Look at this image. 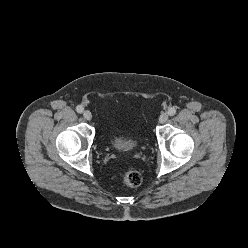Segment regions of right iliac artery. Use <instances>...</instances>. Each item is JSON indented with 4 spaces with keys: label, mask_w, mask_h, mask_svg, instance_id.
Instances as JSON below:
<instances>
[{
    "label": "right iliac artery",
    "mask_w": 248,
    "mask_h": 248,
    "mask_svg": "<svg viewBox=\"0 0 248 248\" xmlns=\"http://www.w3.org/2000/svg\"><path fill=\"white\" fill-rule=\"evenodd\" d=\"M76 111H77L78 113H82V112L84 111L83 106L78 105V106L76 107Z\"/></svg>",
    "instance_id": "1"
}]
</instances>
